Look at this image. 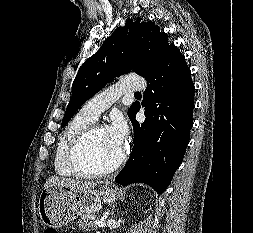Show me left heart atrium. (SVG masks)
<instances>
[{"mask_svg": "<svg viewBox=\"0 0 253 233\" xmlns=\"http://www.w3.org/2000/svg\"><path fill=\"white\" fill-rule=\"evenodd\" d=\"M106 132L117 145L122 147L128 134L127 124L122 117H114L111 124L106 128Z\"/></svg>", "mask_w": 253, "mask_h": 233, "instance_id": "39dd6f15", "label": "left heart atrium"}]
</instances>
